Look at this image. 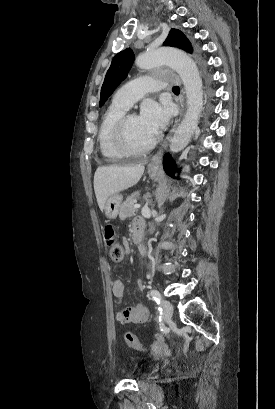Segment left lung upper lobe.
I'll list each match as a JSON object with an SVG mask.
<instances>
[{
	"label": "left lung upper lobe",
	"instance_id": "left-lung-upper-lobe-1",
	"mask_svg": "<svg viewBox=\"0 0 275 409\" xmlns=\"http://www.w3.org/2000/svg\"><path fill=\"white\" fill-rule=\"evenodd\" d=\"M164 46L177 47L189 53L192 52L190 41L177 29H171L168 37L163 43ZM134 61V53L130 48L119 52L112 60V63L106 73L100 95L99 106H103L108 97L115 88L123 81Z\"/></svg>",
	"mask_w": 275,
	"mask_h": 409
}]
</instances>
